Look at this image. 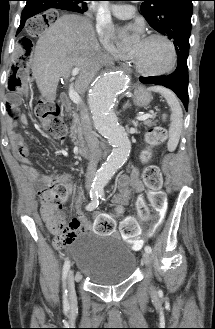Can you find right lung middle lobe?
<instances>
[{
	"label": "right lung middle lobe",
	"instance_id": "right-lung-middle-lobe-1",
	"mask_svg": "<svg viewBox=\"0 0 215 329\" xmlns=\"http://www.w3.org/2000/svg\"><path fill=\"white\" fill-rule=\"evenodd\" d=\"M86 0H66L65 2L76 12H86L87 4Z\"/></svg>",
	"mask_w": 215,
	"mask_h": 329
}]
</instances>
